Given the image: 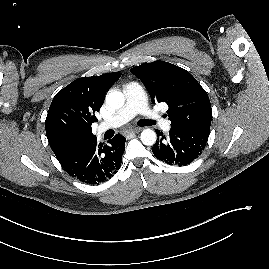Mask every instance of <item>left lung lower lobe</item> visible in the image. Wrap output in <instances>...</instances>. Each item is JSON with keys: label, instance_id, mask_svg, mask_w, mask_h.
Instances as JSON below:
<instances>
[{"label": "left lung lower lobe", "instance_id": "1", "mask_svg": "<svg viewBox=\"0 0 269 269\" xmlns=\"http://www.w3.org/2000/svg\"><path fill=\"white\" fill-rule=\"evenodd\" d=\"M160 137L152 152L155 157L169 165L186 166L194 161L205 148L210 129H170L169 136L156 130Z\"/></svg>", "mask_w": 269, "mask_h": 269}]
</instances>
